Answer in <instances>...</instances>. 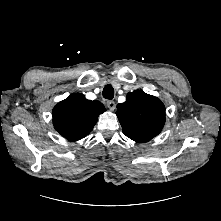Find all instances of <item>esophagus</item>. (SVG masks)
<instances>
[{"label": "esophagus", "mask_w": 221, "mask_h": 221, "mask_svg": "<svg viewBox=\"0 0 221 221\" xmlns=\"http://www.w3.org/2000/svg\"><path fill=\"white\" fill-rule=\"evenodd\" d=\"M106 104H107V107H108L111 111H113V110L116 108V104H115V102L112 101V100L107 101Z\"/></svg>", "instance_id": "1"}]
</instances>
